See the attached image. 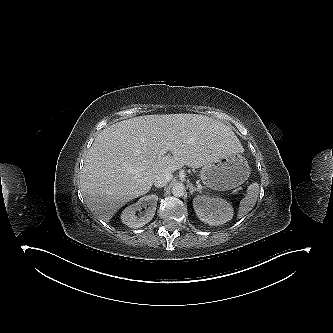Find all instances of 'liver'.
<instances>
[{
	"label": "liver",
	"mask_w": 333,
	"mask_h": 333,
	"mask_svg": "<svg viewBox=\"0 0 333 333\" xmlns=\"http://www.w3.org/2000/svg\"><path fill=\"white\" fill-rule=\"evenodd\" d=\"M243 150L228 126L204 115L130 118L95 138L80 175L81 192L90 211L109 222L127 202L148 193L157 174L200 168Z\"/></svg>",
	"instance_id": "liver-1"
}]
</instances>
